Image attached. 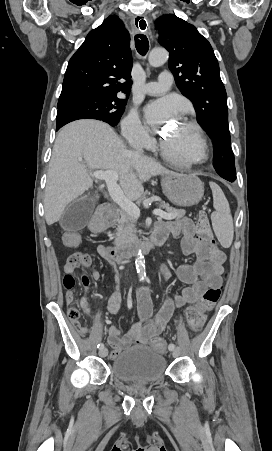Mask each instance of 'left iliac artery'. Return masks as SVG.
I'll return each instance as SVG.
<instances>
[{
	"label": "left iliac artery",
	"instance_id": "1",
	"mask_svg": "<svg viewBox=\"0 0 272 451\" xmlns=\"http://www.w3.org/2000/svg\"><path fill=\"white\" fill-rule=\"evenodd\" d=\"M168 349L170 351L174 350L175 349V345L173 343L169 344Z\"/></svg>",
	"mask_w": 272,
	"mask_h": 451
}]
</instances>
